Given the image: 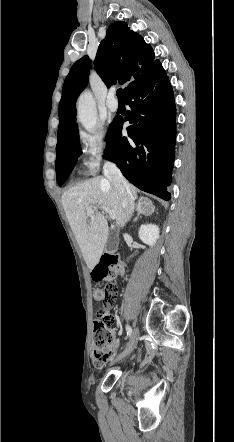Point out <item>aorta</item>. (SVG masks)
Wrapping results in <instances>:
<instances>
[{"instance_id":"obj_1","label":"aorta","mask_w":234,"mask_h":442,"mask_svg":"<svg viewBox=\"0 0 234 442\" xmlns=\"http://www.w3.org/2000/svg\"><path fill=\"white\" fill-rule=\"evenodd\" d=\"M78 120L88 132H94L97 123L95 101L89 91H85L78 99Z\"/></svg>"}]
</instances>
